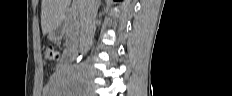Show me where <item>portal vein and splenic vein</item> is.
Masks as SVG:
<instances>
[{
    "mask_svg": "<svg viewBox=\"0 0 232 96\" xmlns=\"http://www.w3.org/2000/svg\"><path fill=\"white\" fill-rule=\"evenodd\" d=\"M77 5H78V0H73V7L77 8Z\"/></svg>",
    "mask_w": 232,
    "mask_h": 96,
    "instance_id": "obj_1",
    "label": "portal vein and splenic vein"
}]
</instances>
